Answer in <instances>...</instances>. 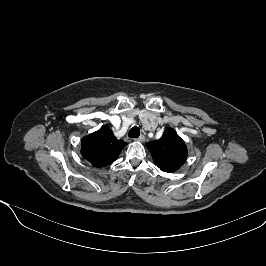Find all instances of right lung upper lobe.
<instances>
[{
    "mask_svg": "<svg viewBox=\"0 0 266 266\" xmlns=\"http://www.w3.org/2000/svg\"><path fill=\"white\" fill-rule=\"evenodd\" d=\"M127 143L118 140L106 125L84 137L81 154L94 167H104L113 163Z\"/></svg>",
    "mask_w": 266,
    "mask_h": 266,
    "instance_id": "cb5924a9",
    "label": "right lung upper lobe"
}]
</instances>
